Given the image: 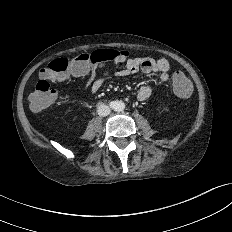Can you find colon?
Segmentation results:
<instances>
[{
  "instance_id": "obj_1",
  "label": "colon",
  "mask_w": 232,
  "mask_h": 232,
  "mask_svg": "<svg viewBox=\"0 0 232 232\" xmlns=\"http://www.w3.org/2000/svg\"><path fill=\"white\" fill-rule=\"evenodd\" d=\"M116 54L128 56V51L113 49H98L90 53H80L69 59L57 58L51 61L48 66L41 70L40 80L30 95V106L36 112L43 111L50 107L56 100L57 94L51 88V81H59L69 72L82 73L91 65H98L110 61ZM173 88L180 97H188L191 94L192 86L188 78L180 71L173 75Z\"/></svg>"
}]
</instances>
